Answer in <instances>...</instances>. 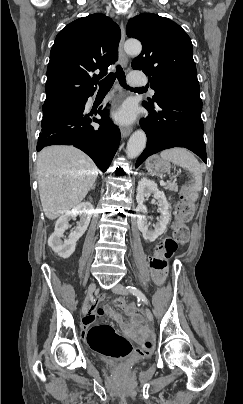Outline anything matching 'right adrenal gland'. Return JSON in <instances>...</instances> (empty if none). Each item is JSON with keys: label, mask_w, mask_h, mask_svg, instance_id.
I'll list each match as a JSON object with an SVG mask.
<instances>
[{"label": "right adrenal gland", "mask_w": 243, "mask_h": 404, "mask_svg": "<svg viewBox=\"0 0 243 404\" xmlns=\"http://www.w3.org/2000/svg\"><path fill=\"white\" fill-rule=\"evenodd\" d=\"M95 186H96V184H94V186H92L91 190H95Z\"/></svg>", "instance_id": "2a0ac1e0"}]
</instances>
